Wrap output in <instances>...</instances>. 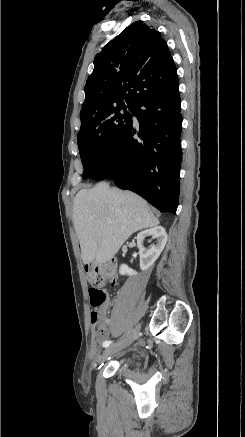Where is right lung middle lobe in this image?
<instances>
[{
    "label": "right lung middle lobe",
    "mask_w": 245,
    "mask_h": 437,
    "mask_svg": "<svg viewBox=\"0 0 245 437\" xmlns=\"http://www.w3.org/2000/svg\"><path fill=\"white\" fill-rule=\"evenodd\" d=\"M126 107L133 113L134 105L118 104L101 111L81 125L77 142L84 168L83 179L89 178L110 156L123 132L131 124L132 117Z\"/></svg>",
    "instance_id": "right-lung-middle-lobe-1"
}]
</instances>
